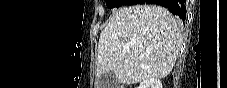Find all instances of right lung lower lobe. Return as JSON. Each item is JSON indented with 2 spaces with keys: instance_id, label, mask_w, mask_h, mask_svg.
Here are the masks:
<instances>
[{
  "instance_id": "right-lung-lower-lobe-1",
  "label": "right lung lower lobe",
  "mask_w": 227,
  "mask_h": 88,
  "mask_svg": "<svg viewBox=\"0 0 227 88\" xmlns=\"http://www.w3.org/2000/svg\"><path fill=\"white\" fill-rule=\"evenodd\" d=\"M186 0H136V3L157 4L167 8L174 15L179 16L183 21L186 18Z\"/></svg>"
}]
</instances>
